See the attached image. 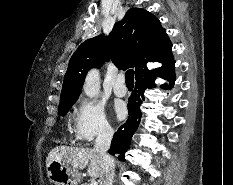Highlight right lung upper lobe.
<instances>
[{
  "label": "right lung upper lobe",
  "instance_id": "1",
  "mask_svg": "<svg viewBox=\"0 0 233 185\" xmlns=\"http://www.w3.org/2000/svg\"><path fill=\"white\" fill-rule=\"evenodd\" d=\"M172 43L160 21L150 12L131 8L104 34L84 41L72 55L64 78L60 103L77 100L81 84L92 67L111 59L118 67H133L135 75L147 70L150 62L162 64L173 58Z\"/></svg>",
  "mask_w": 233,
  "mask_h": 185
}]
</instances>
